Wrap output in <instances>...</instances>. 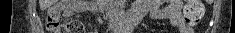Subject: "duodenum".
Returning <instances> with one entry per match:
<instances>
[{
	"mask_svg": "<svg viewBox=\"0 0 235 33\" xmlns=\"http://www.w3.org/2000/svg\"><path fill=\"white\" fill-rule=\"evenodd\" d=\"M89 7L90 2H85ZM140 16L135 14H127L121 17L117 22L112 25L115 33H123L124 31H132L140 20Z\"/></svg>",
	"mask_w": 235,
	"mask_h": 33,
	"instance_id": "1",
	"label": "duodenum"
}]
</instances>
